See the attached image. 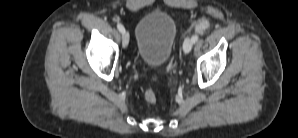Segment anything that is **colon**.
<instances>
[{
  "mask_svg": "<svg viewBox=\"0 0 298 138\" xmlns=\"http://www.w3.org/2000/svg\"><path fill=\"white\" fill-rule=\"evenodd\" d=\"M149 98H152V96H151V95H149Z\"/></svg>",
  "mask_w": 298,
  "mask_h": 138,
  "instance_id": "obj_1",
  "label": "colon"
}]
</instances>
